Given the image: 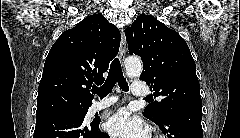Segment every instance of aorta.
Masks as SVG:
<instances>
[{
  "mask_svg": "<svg viewBox=\"0 0 240 138\" xmlns=\"http://www.w3.org/2000/svg\"><path fill=\"white\" fill-rule=\"evenodd\" d=\"M125 69L128 76H139L143 70V65L138 58L129 57L125 60Z\"/></svg>",
  "mask_w": 240,
  "mask_h": 138,
  "instance_id": "1",
  "label": "aorta"
}]
</instances>
